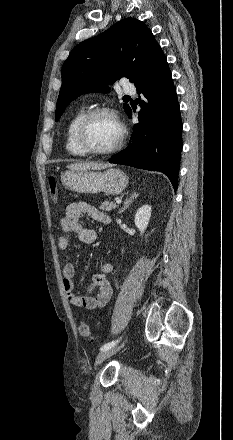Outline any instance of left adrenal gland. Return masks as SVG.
Wrapping results in <instances>:
<instances>
[{
	"label": "left adrenal gland",
	"mask_w": 233,
	"mask_h": 440,
	"mask_svg": "<svg viewBox=\"0 0 233 440\" xmlns=\"http://www.w3.org/2000/svg\"><path fill=\"white\" fill-rule=\"evenodd\" d=\"M138 196H139L138 193H136V192L132 193V195L125 200L123 208L120 209V211L118 213L120 214V213L124 212L131 205L133 200L136 199Z\"/></svg>",
	"instance_id": "a2214340"
}]
</instances>
